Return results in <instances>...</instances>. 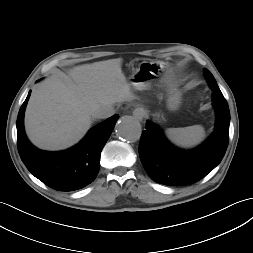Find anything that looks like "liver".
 <instances>
[{"label": "liver", "instance_id": "obj_1", "mask_svg": "<svg viewBox=\"0 0 253 253\" xmlns=\"http://www.w3.org/2000/svg\"><path fill=\"white\" fill-rule=\"evenodd\" d=\"M122 61L77 66L69 75L51 77L35 89L25 112L31 142L46 150L68 148L88 131L95 110L131 100Z\"/></svg>", "mask_w": 253, "mask_h": 253}]
</instances>
